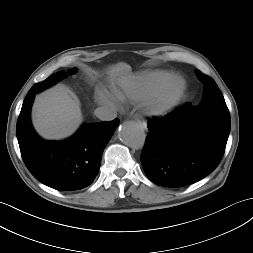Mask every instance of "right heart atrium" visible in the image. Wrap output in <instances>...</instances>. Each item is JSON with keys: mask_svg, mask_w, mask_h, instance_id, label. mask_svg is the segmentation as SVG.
Wrapping results in <instances>:
<instances>
[{"mask_svg": "<svg viewBox=\"0 0 253 253\" xmlns=\"http://www.w3.org/2000/svg\"><path fill=\"white\" fill-rule=\"evenodd\" d=\"M96 100L99 104L114 107L115 101L113 97L105 90H98L96 93Z\"/></svg>", "mask_w": 253, "mask_h": 253, "instance_id": "d8ad5b80", "label": "right heart atrium"}]
</instances>
